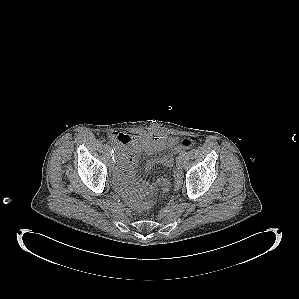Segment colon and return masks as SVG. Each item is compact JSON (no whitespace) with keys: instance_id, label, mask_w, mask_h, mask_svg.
Instances as JSON below:
<instances>
[{"instance_id":"1","label":"colon","mask_w":299,"mask_h":299,"mask_svg":"<svg viewBox=\"0 0 299 299\" xmlns=\"http://www.w3.org/2000/svg\"><path fill=\"white\" fill-rule=\"evenodd\" d=\"M194 139L193 138H188L184 139L180 146L181 148H189L193 145ZM183 185V174L182 171L180 170V167L176 163V167L174 169V189L179 190Z\"/></svg>"}]
</instances>
